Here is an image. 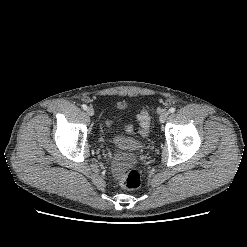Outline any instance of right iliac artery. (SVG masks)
Returning a JSON list of instances; mask_svg holds the SVG:
<instances>
[{
    "mask_svg": "<svg viewBox=\"0 0 247 247\" xmlns=\"http://www.w3.org/2000/svg\"><path fill=\"white\" fill-rule=\"evenodd\" d=\"M82 109L86 110L87 109V105L83 104L82 105Z\"/></svg>",
    "mask_w": 247,
    "mask_h": 247,
    "instance_id": "obj_1",
    "label": "right iliac artery"
}]
</instances>
